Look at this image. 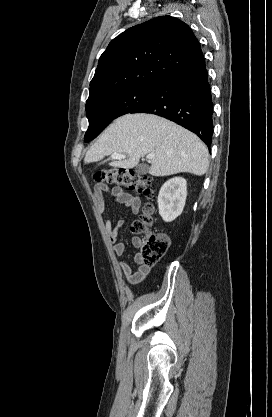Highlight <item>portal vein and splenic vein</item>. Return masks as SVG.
<instances>
[{
  "instance_id": "1",
  "label": "portal vein and splenic vein",
  "mask_w": 272,
  "mask_h": 417,
  "mask_svg": "<svg viewBox=\"0 0 272 417\" xmlns=\"http://www.w3.org/2000/svg\"><path fill=\"white\" fill-rule=\"evenodd\" d=\"M153 157H154V153H150L146 156V159L151 160ZM111 158L116 159V160H120V159H125L126 156L123 155V154H119V153H112Z\"/></svg>"
}]
</instances>
